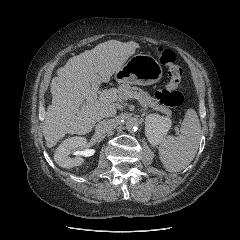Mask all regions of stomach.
<instances>
[{"label": "stomach", "mask_w": 240, "mask_h": 240, "mask_svg": "<svg viewBox=\"0 0 240 240\" xmlns=\"http://www.w3.org/2000/svg\"><path fill=\"white\" fill-rule=\"evenodd\" d=\"M162 75V67L154 57L136 54L115 73V79L120 83L145 86L157 83Z\"/></svg>", "instance_id": "1"}]
</instances>
